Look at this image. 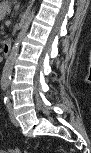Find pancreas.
<instances>
[{"instance_id":"1","label":"pancreas","mask_w":91,"mask_h":153,"mask_svg":"<svg viewBox=\"0 0 91 153\" xmlns=\"http://www.w3.org/2000/svg\"><path fill=\"white\" fill-rule=\"evenodd\" d=\"M10 12V7L8 3H2L1 5V16H4L6 13Z\"/></svg>"}]
</instances>
